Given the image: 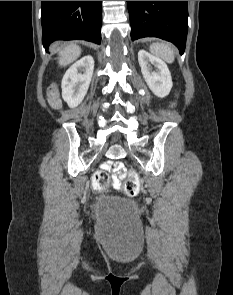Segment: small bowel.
Instances as JSON below:
<instances>
[{"mask_svg":"<svg viewBox=\"0 0 233 295\" xmlns=\"http://www.w3.org/2000/svg\"><path fill=\"white\" fill-rule=\"evenodd\" d=\"M104 169L105 170H111L113 175V184L116 187H120V179H122L125 174H124V165L121 162H107L104 164Z\"/></svg>","mask_w":233,"mask_h":295,"instance_id":"obj_1","label":"small bowel"}]
</instances>
